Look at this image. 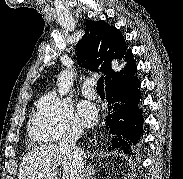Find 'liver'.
I'll list each match as a JSON object with an SVG mask.
<instances>
[{"label": "liver", "mask_w": 183, "mask_h": 179, "mask_svg": "<svg viewBox=\"0 0 183 179\" xmlns=\"http://www.w3.org/2000/svg\"><path fill=\"white\" fill-rule=\"evenodd\" d=\"M81 156L86 153L79 149ZM62 165V179H74V166L70 154L59 145L46 143L33 148L22 159L18 179H58L57 167Z\"/></svg>", "instance_id": "liver-1"}]
</instances>
